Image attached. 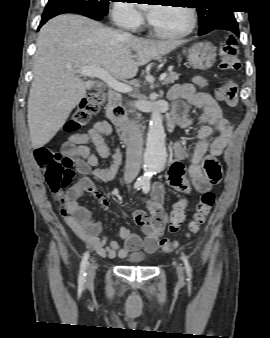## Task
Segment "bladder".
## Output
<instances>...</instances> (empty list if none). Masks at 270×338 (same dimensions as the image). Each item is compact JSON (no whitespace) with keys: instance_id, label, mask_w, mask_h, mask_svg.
<instances>
[{"instance_id":"obj_1","label":"bladder","mask_w":270,"mask_h":338,"mask_svg":"<svg viewBox=\"0 0 270 338\" xmlns=\"http://www.w3.org/2000/svg\"><path fill=\"white\" fill-rule=\"evenodd\" d=\"M126 260L134 263V265H142V263L146 260V257L142 254H135L129 256Z\"/></svg>"}]
</instances>
